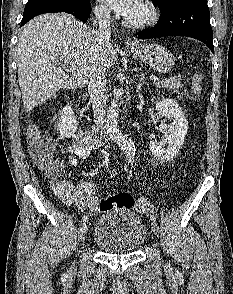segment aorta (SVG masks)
Here are the masks:
<instances>
[{
  "mask_svg": "<svg viewBox=\"0 0 233 294\" xmlns=\"http://www.w3.org/2000/svg\"><path fill=\"white\" fill-rule=\"evenodd\" d=\"M121 89L114 90V98L108 108L106 119V131L108 135L121 147L127 157V161L134 162L136 148L134 142L121 132L118 126V102Z\"/></svg>",
  "mask_w": 233,
  "mask_h": 294,
  "instance_id": "aorta-1",
  "label": "aorta"
}]
</instances>
